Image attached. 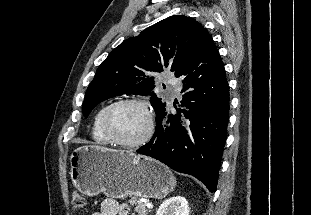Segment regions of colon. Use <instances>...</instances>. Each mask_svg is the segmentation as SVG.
<instances>
[{"instance_id":"1","label":"colon","mask_w":311,"mask_h":215,"mask_svg":"<svg viewBox=\"0 0 311 215\" xmlns=\"http://www.w3.org/2000/svg\"><path fill=\"white\" fill-rule=\"evenodd\" d=\"M71 204L74 210H83L86 205L85 198L81 194L75 192L72 195Z\"/></svg>"}]
</instances>
